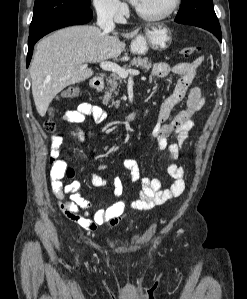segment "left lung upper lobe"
I'll return each instance as SVG.
<instances>
[{
    "label": "left lung upper lobe",
    "mask_w": 247,
    "mask_h": 299,
    "mask_svg": "<svg viewBox=\"0 0 247 299\" xmlns=\"http://www.w3.org/2000/svg\"><path fill=\"white\" fill-rule=\"evenodd\" d=\"M188 17H200L219 24L212 0H182L181 8L175 20Z\"/></svg>",
    "instance_id": "obj_1"
}]
</instances>
